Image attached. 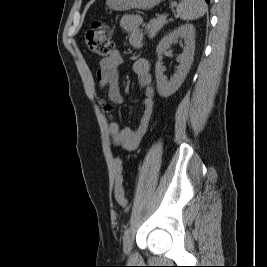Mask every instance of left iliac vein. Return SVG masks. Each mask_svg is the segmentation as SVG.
I'll return each mask as SVG.
<instances>
[{
  "label": "left iliac vein",
  "instance_id": "1",
  "mask_svg": "<svg viewBox=\"0 0 267 267\" xmlns=\"http://www.w3.org/2000/svg\"><path fill=\"white\" fill-rule=\"evenodd\" d=\"M132 249V240L130 235L126 236L123 241V251L125 254H130Z\"/></svg>",
  "mask_w": 267,
  "mask_h": 267
}]
</instances>
